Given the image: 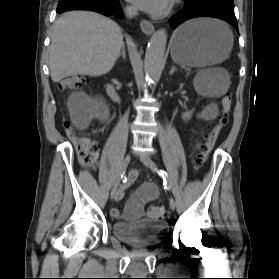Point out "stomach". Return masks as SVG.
Instances as JSON below:
<instances>
[{
	"mask_svg": "<svg viewBox=\"0 0 279 279\" xmlns=\"http://www.w3.org/2000/svg\"><path fill=\"white\" fill-rule=\"evenodd\" d=\"M233 46V36L219 21L195 19L181 25L171 38V58L180 65L206 67L223 62Z\"/></svg>",
	"mask_w": 279,
	"mask_h": 279,
	"instance_id": "1",
	"label": "stomach"
}]
</instances>
